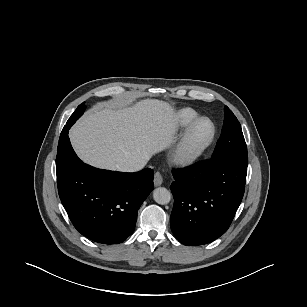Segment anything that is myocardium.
<instances>
[{
  "label": "myocardium",
  "instance_id": "f54148a6",
  "mask_svg": "<svg viewBox=\"0 0 307 307\" xmlns=\"http://www.w3.org/2000/svg\"><path fill=\"white\" fill-rule=\"evenodd\" d=\"M208 122L211 126V132L209 137L200 145L193 144V137L198 126ZM216 137L215 123L208 117H199L196 119L185 131L183 137L178 143L172 154V160L179 166H188L197 161L212 145Z\"/></svg>",
  "mask_w": 307,
  "mask_h": 307
}]
</instances>
